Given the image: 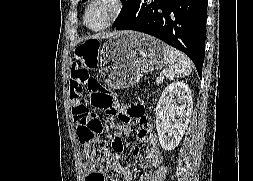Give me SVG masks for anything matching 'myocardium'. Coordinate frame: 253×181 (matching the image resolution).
<instances>
[{"label":"myocardium","mask_w":253,"mask_h":181,"mask_svg":"<svg viewBox=\"0 0 253 181\" xmlns=\"http://www.w3.org/2000/svg\"><path fill=\"white\" fill-rule=\"evenodd\" d=\"M101 1H104V0H89L86 3L84 10H83V15H82L83 25L88 30L93 31V32H98V31H102V30L109 28L110 26H112L116 21H118L123 16V14L126 10V1L125 0H106L111 4V7H112L107 20L100 27H95V28L91 27L87 23L88 12L94 4L101 2Z\"/></svg>","instance_id":"myocardium-1"}]
</instances>
